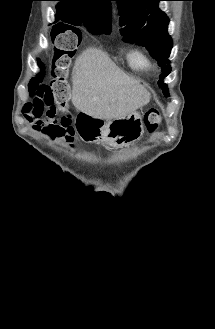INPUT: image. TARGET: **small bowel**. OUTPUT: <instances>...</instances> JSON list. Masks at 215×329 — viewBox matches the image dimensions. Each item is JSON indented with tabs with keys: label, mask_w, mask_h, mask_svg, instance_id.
Returning <instances> with one entry per match:
<instances>
[{
	"label": "small bowel",
	"mask_w": 215,
	"mask_h": 329,
	"mask_svg": "<svg viewBox=\"0 0 215 329\" xmlns=\"http://www.w3.org/2000/svg\"><path fill=\"white\" fill-rule=\"evenodd\" d=\"M27 122L38 132L46 136L47 138L65 139L70 142L69 135L66 131L62 130L59 126L60 119L55 115L39 116L36 114L26 115Z\"/></svg>",
	"instance_id": "obj_1"
}]
</instances>
